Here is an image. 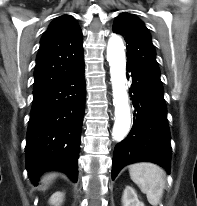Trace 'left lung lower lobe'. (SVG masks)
<instances>
[{
	"label": "left lung lower lobe",
	"instance_id": "1",
	"mask_svg": "<svg viewBox=\"0 0 197 206\" xmlns=\"http://www.w3.org/2000/svg\"><path fill=\"white\" fill-rule=\"evenodd\" d=\"M130 73V74H129ZM131 100L135 108L129 135L115 146L112 179L127 164L150 161L170 172L171 145L163 88L127 65Z\"/></svg>",
	"mask_w": 197,
	"mask_h": 206
}]
</instances>
